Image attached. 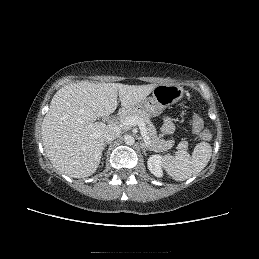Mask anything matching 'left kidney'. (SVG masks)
<instances>
[{
    "mask_svg": "<svg viewBox=\"0 0 259 259\" xmlns=\"http://www.w3.org/2000/svg\"><path fill=\"white\" fill-rule=\"evenodd\" d=\"M164 157L161 155H151L148 158L147 166L150 172L158 178L163 176L162 166Z\"/></svg>",
    "mask_w": 259,
    "mask_h": 259,
    "instance_id": "5707ae66",
    "label": "left kidney"
}]
</instances>
